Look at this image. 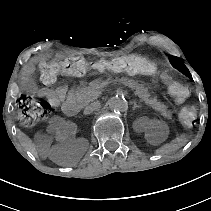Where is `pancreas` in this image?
<instances>
[{
  "mask_svg": "<svg viewBox=\"0 0 211 211\" xmlns=\"http://www.w3.org/2000/svg\"><path fill=\"white\" fill-rule=\"evenodd\" d=\"M121 84L127 85L131 90H135L134 94L137 95L141 102L147 104L153 110L159 111L160 115L163 118L169 119L172 122H175L172 119V113L166 107V105L160 103L156 98L151 96V93L148 91L143 84L138 83L134 79L124 77L121 79ZM105 90V85L101 81H95L92 85H88L77 90H72V95L74 97L70 100V105L74 109H79L82 105H86L91 101V98L97 96V94L103 93Z\"/></svg>",
  "mask_w": 211,
  "mask_h": 211,
  "instance_id": "1",
  "label": "pancreas"
}]
</instances>
